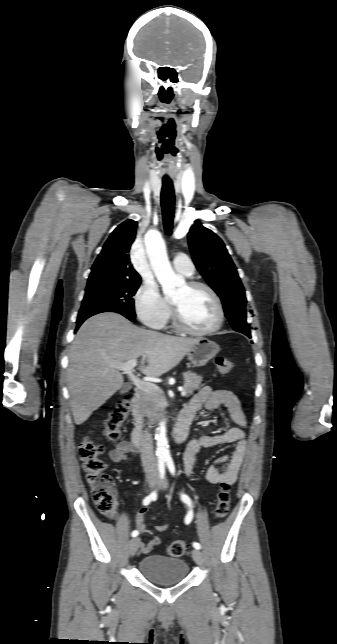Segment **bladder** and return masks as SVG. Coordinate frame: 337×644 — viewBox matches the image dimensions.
Returning <instances> with one entry per match:
<instances>
[{
	"label": "bladder",
	"instance_id": "bladder-1",
	"mask_svg": "<svg viewBox=\"0 0 337 644\" xmlns=\"http://www.w3.org/2000/svg\"><path fill=\"white\" fill-rule=\"evenodd\" d=\"M138 568L143 577L160 585L179 583L189 572L184 560L164 555L145 556L140 560Z\"/></svg>",
	"mask_w": 337,
	"mask_h": 644
}]
</instances>
